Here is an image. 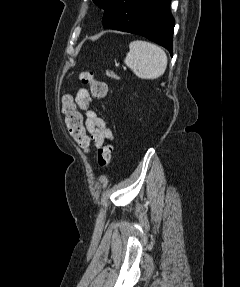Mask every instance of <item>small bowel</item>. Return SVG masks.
Wrapping results in <instances>:
<instances>
[{"instance_id": "c3829d8e", "label": "small bowel", "mask_w": 240, "mask_h": 287, "mask_svg": "<svg viewBox=\"0 0 240 287\" xmlns=\"http://www.w3.org/2000/svg\"><path fill=\"white\" fill-rule=\"evenodd\" d=\"M93 97L86 89H80L75 97V106L85 116L84 126L92 137L97 149L101 148L106 140H113V133L104 119L92 110Z\"/></svg>"}]
</instances>
